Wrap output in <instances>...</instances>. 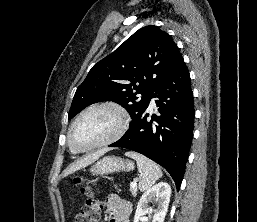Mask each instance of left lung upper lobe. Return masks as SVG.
I'll return each instance as SVG.
<instances>
[{"label": "left lung upper lobe", "instance_id": "obj_1", "mask_svg": "<svg viewBox=\"0 0 257 222\" xmlns=\"http://www.w3.org/2000/svg\"><path fill=\"white\" fill-rule=\"evenodd\" d=\"M182 59L168 33L157 26L139 29L91 68L76 90L68 119L93 103L114 101L128 111L132 124Z\"/></svg>", "mask_w": 257, "mask_h": 222}]
</instances>
